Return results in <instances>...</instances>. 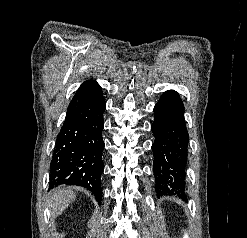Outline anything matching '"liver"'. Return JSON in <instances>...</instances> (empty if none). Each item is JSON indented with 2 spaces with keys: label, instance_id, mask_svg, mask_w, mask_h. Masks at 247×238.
<instances>
[{
  "label": "liver",
  "instance_id": "1",
  "mask_svg": "<svg viewBox=\"0 0 247 238\" xmlns=\"http://www.w3.org/2000/svg\"><path fill=\"white\" fill-rule=\"evenodd\" d=\"M75 198V193L69 187H59L53 190L48 203L51 209V216L56 218L61 215Z\"/></svg>",
  "mask_w": 247,
  "mask_h": 238
}]
</instances>
